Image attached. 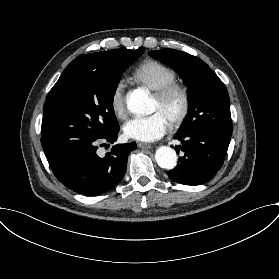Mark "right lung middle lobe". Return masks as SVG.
Here are the masks:
<instances>
[{
  "mask_svg": "<svg viewBox=\"0 0 279 279\" xmlns=\"http://www.w3.org/2000/svg\"><path fill=\"white\" fill-rule=\"evenodd\" d=\"M142 54L123 50L104 69L68 65L44 105L41 144L46 157L66 146L103 138L118 126L114 94L122 72Z\"/></svg>",
  "mask_w": 279,
  "mask_h": 279,
  "instance_id": "right-lung-middle-lobe-1",
  "label": "right lung middle lobe"
}]
</instances>
